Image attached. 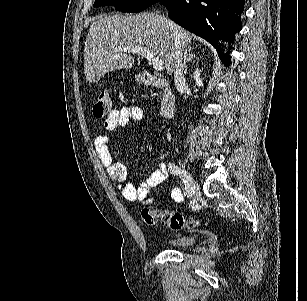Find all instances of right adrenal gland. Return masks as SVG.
Returning a JSON list of instances; mask_svg holds the SVG:
<instances>
[{
  "label": "right adrenal gland",
  "mask_w": 307,
  "mask_h": 301,
  "mask_svg": "<svg viewBox=\"0 0 307 301\" xmlns=\"http://www.w3.org/2000/svg\"><path fill=\"white\" fill-rule=\"evenodd\" d=\"M183 56H184L183 72L184 74H186L188 68L187 62H190L192 58H195V54H193L192 52V46H189V48H185Z\"/></svg>",
  "instance_id": "obj_1"
}]
</instances>
